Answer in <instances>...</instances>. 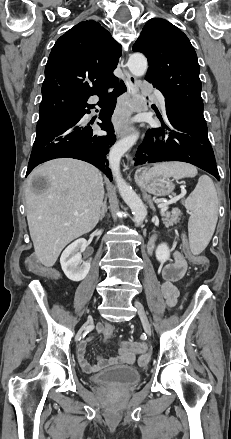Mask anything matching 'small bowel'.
Instances as JSON below:
<instances>
[{"label":"small bowel","instance_id":"obj_1","mask_svg":"<svg viewBox=\"0 0 231 439\" xmlns=\"http://www.w3.org/2000/svg\"><path fill=\"white\" fill-rule=\"evenodd\" d=\"M155 246V237H153L149 243L148 249L151 253ZM187 262L184 256L177 250H172V261L162 266L160 270L163 283L161 285L162 294L166 300L168 306H175L179 292L174 285V282L179 280L186 272ZM113 333V327L110 324L101 325L98 328V334L104 336H111ZM94 336L88 337L85 341H82L77 348V359L85 372L92 373L108 366L117 364H133L137 354H141L146 359L145 344L140 342H130L122 340L119 342L117 354L109 359L100 358L98 363L91 365L86 357V345L92 341Z\"/></svg>","mask_w":231,"mask_h":439}]
</instances>
